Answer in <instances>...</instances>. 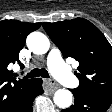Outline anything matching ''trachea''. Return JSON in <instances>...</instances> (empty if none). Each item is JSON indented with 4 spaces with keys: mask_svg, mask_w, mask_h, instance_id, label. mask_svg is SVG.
Masks as SVG:
<instances>
[{
    "mask_svg": "<svg viewBox=\"0 0 112 112\" xmlns=\"http://www.w3.org/2000/svg\"><path fill=\"white\" fill-rule=\"evenodd\" d=\"M39 76L43 78H49V73L47 70L43 68L42 69L35 68L31 72L27 73V75H25V78H34Z\"/></svg>",
    "mask_w": 112,
    "mask_h": 112,
    "instance_id": "3493384b",
    "label": "trachea"
}]
</instances>
